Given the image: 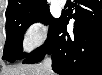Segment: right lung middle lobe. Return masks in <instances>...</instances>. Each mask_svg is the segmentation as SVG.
Here are the masks:
<instances>
[{"instance_id":"dd1d6c3e","label":"right lung middle lobe","mask_w":102,"mask_h":75,"mask_svg":"<svg viewBox=\"0 0 102 75\" xmlns=\"http://www.w3.org/2000/svg\"><path fill=\"white\" fill-rule=\"evenodd\" d=\"M49 25L48 33L52 30L58 19L53 18L48 5L35 10L19 12L6 16V42L3 59L9 62L24 59L28 54L23 53L22 40L26 29L34 22Z\"/></svg>"}]
</instances>
